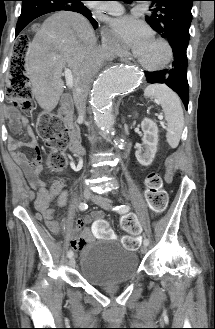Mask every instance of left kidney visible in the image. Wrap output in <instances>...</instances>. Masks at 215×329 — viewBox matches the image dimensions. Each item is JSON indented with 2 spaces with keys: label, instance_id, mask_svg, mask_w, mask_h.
<instances>
[{
  "label": "left kidney",
  "instance_id": "obj_1",
  "mask_svg": "<svg viewBox=\"0 0 215 329\" xmlns=\"http://www.w3.org/2000/svg\"><path fill=\"white\" fill-rule=\"evenodd\" d=\"M141 128L144 133L142 146H140L135 156L138 162L143 166H149L155 157L158 146V127L154 121L144 118L141 122Z\"/></svg>",
  "mask_w": 215,
  "mask_h": 329
}]
</instances>
